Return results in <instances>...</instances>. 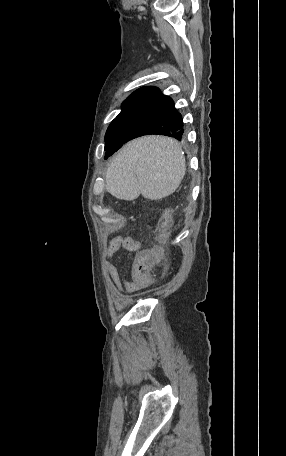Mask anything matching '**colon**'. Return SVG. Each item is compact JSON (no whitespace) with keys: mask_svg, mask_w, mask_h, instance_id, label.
I'll return each instance as SVG.
<instances>
[{"mask_svg":"<svg viewBox=\"0 0 286 456\" xmlns=\"http://www.w3.org/2000/svg\"><path fill=\"white\" fill-rule=\"evenodd\" d=\"M163 260L164 249L161 245L140 251L135 256L131 268L133 282L137 284L139 288L148 287L153 284L155 280L153 271L162 265Z\"/></svg>","mask_w":286,"mask_h":456,"instance_id":"5ec220e1","label":"colon"}]
</instances>
